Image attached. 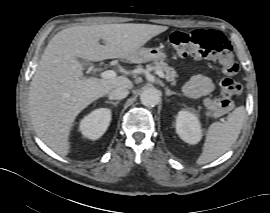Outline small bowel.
I'll use <instances>...</instances> for the list:
<instances>
[{
	"mask_svg": "<svg viewBox=\"0 0 270 213\" xmlns=\"http://www.w3.org/2000/svg\"><path fill=\"white\" fill-rule=\"evenodd\" d=\"M183 90L187 96L199 98L209 94L213 90V83L207 76L196 75L184 85Z\"/></svg>",
	"mask_w": 270,
	"mask_h": 213,
	"instance_id": "1",
	"label": "small bowel"
}]
</instances>
